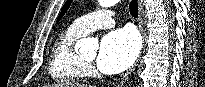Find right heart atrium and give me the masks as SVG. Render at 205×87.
Segmentation results:
<instances>
[{"label":"right heart atrium","instance_id":"1","mask_svg":"<svg viewBox=\"0 0 205 87\" xmlns=\"http://www.w3.org/2000/svg\"><path fill=\"white\" fill-rule=\"evenodd\" d=\"M89 71H91L90 67H86V72L88 73Z\"/></svg>","mask_w":205,"mask_h":87}]
</instances>
